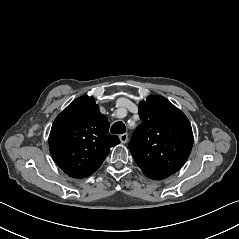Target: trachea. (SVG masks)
Segmentation results:
<instances>
[{"instance_id": "3493384b", "label": "trachea", "mask_w": 239, "mask_h": 239, "mask_svg": "<svg viewBox=\"0 0 239 239\" xmlns=\"http://www.w3.org/2000/svg\"><path fill=\"white\" fill-rule=\"evenodd\" d=\"M126 131V126L123 122H115L111 127L112 134H123Z\"/></svg>"}]
</instances>
